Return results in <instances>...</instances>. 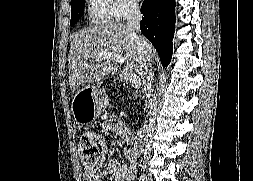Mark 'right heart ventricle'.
Instances as JSON below:
<instances>
[{"label":"right heart ventricle","instance_id":"obj_1","mask_svg":"<svg viewBox=\"0 0 253 181\" xmlns=\"http://www.w3.org/2000/svg\"><path fill=\"white\" fill-rule=\"evenodd\" d=\"M86 10L90 23L106 24L112 20L108 0H86Z\"/></svg>","mask_w":253,"mask_h":181}]
</instances>
